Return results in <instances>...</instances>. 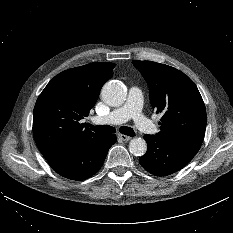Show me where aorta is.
Returning <instances> with one entry per match:
<instances>
[{"instance_id": "obj_1", "label": "aorta", "mask_w": 233, "mask_h": 233, "mask_svg": "<svg viewBox=\"0 0 233 233\" xmlns=\"http://www.w3.org/2000/svg\"><path fill=\"white\" fill-rule=\"evenodd\" d=\"M102 100L109 106H119L126 100L124 86L118 81L107 82L101 90ZM129 151L135 156H142L147 151V143L143 138H133L129 143Z\"/></svg>"}]
</instances>
